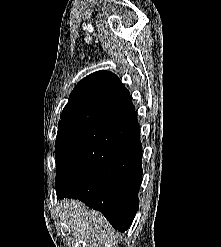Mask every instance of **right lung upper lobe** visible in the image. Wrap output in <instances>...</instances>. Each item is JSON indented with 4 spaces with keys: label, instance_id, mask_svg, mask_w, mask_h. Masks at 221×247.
I'll list each match as a JSON object with an SVG mask.
<instances>
[{
    "label": "right lung upper lobe",
    "instance_id": "1",
    "mask_svg": "<svg viewBox=\"0 0 221 247\" xmlns=\"http://www.w3.org/2000/svg\"><path fill=\"white\" fill-rule=\"evenodd\" d=\"M133 110L130 93L118 76L109 71H97L73 89L60 116L58 129H88Z\"/></svg>",
    "mask_w": 221,
    "mask_h": 247
}]
</instances>
